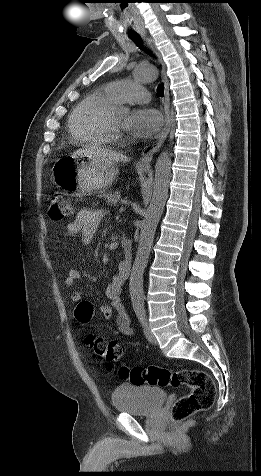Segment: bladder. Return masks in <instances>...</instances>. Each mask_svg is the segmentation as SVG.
Here are the masks:
<instances>
[{
	"label": "bladder",
	"mask_w": 261,
	"mask_h": 476,
	"mask_svg": "<svg viewBox=\"0 0 261 476\" xmlns=\"http://www.w3.org/2000/svg\"><path fill=\"white\" fill-rule=\"evenodd\" d=\"M166 400V392L158 386L127 384L112 393L114 408L133 416H148L159 410Z\"/></svg>",
	"instance_id": "obj_1"
}]
</instances>
